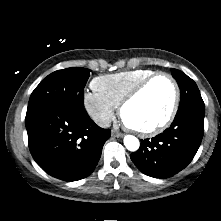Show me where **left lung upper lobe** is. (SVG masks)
<instances>
[{"label": "left lung upper lobe", "instance_id": "obj_1", "mask_svg": "<svg viewBox=\"0 0 221 221\" xmlns=\"http://www.w3.org/2000/svg\"><path fill=\"white\" fill-rule=\"evenodd\" d=\"M171 72L181 91L179 109L190 105H204L196 83L180 70L171 69Z\"/></svg>", "mask_w": 221, "mask_h": 221}]
</instances>
